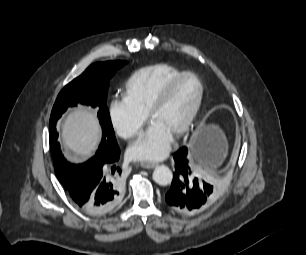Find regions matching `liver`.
<instances>
[{"label": "liver", "instance_id": "1", "mask_svg": "<svg viewBox=\"0 0 306 255\" xmlns=\"http://www.w3.org/2000/svg\"><path fill=\"white\" fill-rule=\"evenodd\" d=\"M62 137L69 149L67 158L70 161L79 163L90 158L101 137L96 115L82 107L73 110L64 121Z\"/></svg>", "mask_w": 306, "mask_h": 255}]
</instances>
